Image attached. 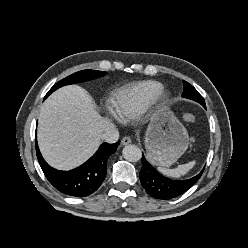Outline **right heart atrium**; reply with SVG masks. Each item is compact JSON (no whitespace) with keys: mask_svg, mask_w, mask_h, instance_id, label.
Instances as JSON below:
<instances>
[{"mask_svg":"<svg viewBox=\"0 0 248 248\" xmlns=\"http://www.w3.org/2000/svg\"><path fill=\"white\" fill-rule=\"evenodd\" d=\"M105 111H106L107 114H109L110 111H111V108H110V106L108 104H105Z\"/></svg>","mask_w":248,"mask_h":248,"instance_id":"right-heart-atrium-1","label":"right heart atrium"}]
</instances>
